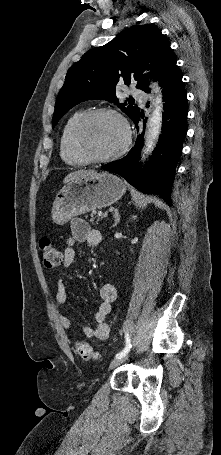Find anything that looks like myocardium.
Returning <instances> with one entry per match:
<instances>
[{
    "instance_id": "obj_1",
    "label": "myocardium",
    "mask_w": 221,
    "mask_h": 455,
    "mask_svg": "<svg viewBox=\"0 0 221 455\" xmlns=\"http://www.w3.org/2000/svg\"><path fill=\"white\" fill-rule=\"evenodd\" d=\"M101 115H112L116 117L122 124L125 139L121 147L116 150L115 152L102 156L96 157L92 156L83 146L82 144V133L84 127L89 123L92 119L101 116ZM132 142V131L127 119L116 109L108 108V107H101L97 109H93L84 113L81 118L75 124L73 129V145L77 153L82 156L88 163H107L111 162L119 157H121L130 147Z\"/></svg>"
}]
</instances>
